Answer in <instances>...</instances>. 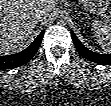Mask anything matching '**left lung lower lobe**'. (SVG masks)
I'll return each mask as SVG.
<instances>
[{
	"instance_id": "1",
	"label": "left lung lower lobe",
	"mask_w": 111,
	"mask_h": 106,
	"mask_svg": "<svg viewBox=\"0 0 111 106\" xmlns=\"http://www.w3.org/2000/svg\"><path fill=\"white\" fill-rule=\"evenodd\" d=\"M71 36L74 41L75 47L78 52L87 60L92 62L102 64V65H111V54H99L88 50L84 45L79 41L76 35L71 31Z\"/></svg>"
}]
</instances>
